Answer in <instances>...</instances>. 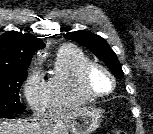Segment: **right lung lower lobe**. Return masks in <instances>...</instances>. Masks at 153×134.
<instances>
[{
    "label": "right lung lower lobe",
    "mask_w": 153,
    "mask_h": 134,
    "mask_svg": "<svg viewBox=\"0 0 153 134\" xmlns=\"http://www.w3.org/2000/svg\"><path fill=\"white\" fill-rule=\"evenodd\" d=\"M0 118H13L12 114H0Z\"/></svg>",
    "instance_id": "1"
}]
</instances>
